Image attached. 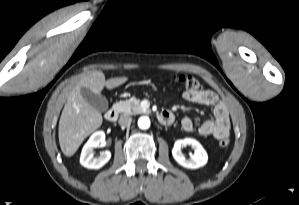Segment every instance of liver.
<instances>
[{
    "instance_id": "1",
    "label": "liver",
    "mask_w": 299,
    "mask_h": 205,
    "mask_svg": "<svg viewBox=\"0 0 299 205\" xmlns=\"http://www.w3.org/2000/svg\"><path fill=\"white\" fill-rule=\"evenodd\" d=\"M128 77L105 80L102 71H91L84 75L72 89L63 108L58 128L60 148L65 156H72L84 139L102 124L100 111L93 108L81 95V88H88L100 94L104 87L116 88L124 84Z\"/></svg>"
}]
</instances>
